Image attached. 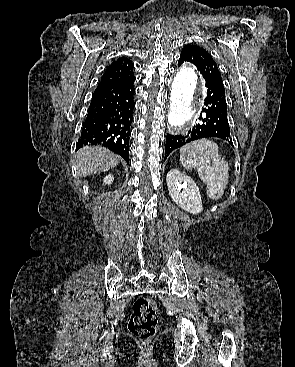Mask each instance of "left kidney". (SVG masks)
I'll use <instances>...</instances> for the list:
<instances>
[{"instance_id":"left-kidney-1","label":"left kidney","mask_w":295,"mask_h":367,"mask_svg":"<svg viewBox=\"0 0 295 367\" xmlns=\"http://www.w3.org/2000/svg\"><path fill=\"white\" fill-rule=\"evenodd\" d=\"M169 194L172 200L183 210L198 214L203 210L199 188L192 178L178 169H171L166 176Z\"/></svg>"}]
</instances>
